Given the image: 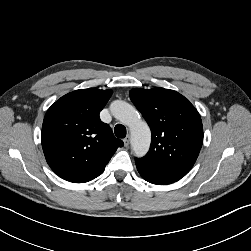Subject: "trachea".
<instances>
[{
  "instance_id": "trachea-1",
  "label": "trachea",
  "mask_w": 251,
  "mask_h": 251,
  "mask_svg": "<svg viewBox=\"0 0 251 251\" xmlns=\"http://www.w3.org/2000/svg\"><path fill=\"white\" fill-rule=\"evenodd\" d=\"M115 135L118 138L126 137V128L122 124H117L114 129Z\"/></svg>"
}]
</instances>
